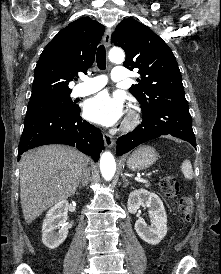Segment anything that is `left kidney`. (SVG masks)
I'll list each match as a JSON object with an SVG mask.
<instances>
[{
	"label": "left kidney",
	"mask_w": 221,
	"mask_h": 274,
	"mask_svg": "<svg viewBox=\"0 0 221 274\" xmlns=\"http://www.w3.org/2000/svg\"><path fill=\"white\" fill-rule=\"evenodd\" d=\"M127 206L132 214H135L140 206L149 208L151 226L147 227L144 219L139 218L135 223V231L148 244L160 243L167 234V215L159 196L145 189L134 190L129 195Z\"/></svg>",
	"instance_id": "5707ae66"
}]
</instances>
